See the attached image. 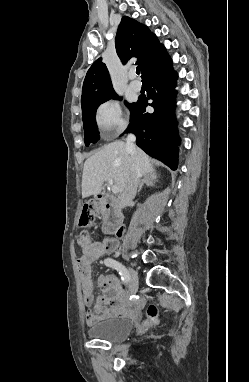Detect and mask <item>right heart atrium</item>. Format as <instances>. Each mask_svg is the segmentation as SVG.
<instances>
[{
	"instance_id": "1",
	"label": "right heart atrium",
	"mask_w": 249,
	"mask_h": 382,
	"mask_svg": "<svg viewBox=\"0 0 249 382\" xmlns=\"http://www.w3.org/2000/svg\"><path fill=\"white\" fill-rule=\"evenodd\" d=\"M95 122L99 130L106 135H116L126 127L121 105L112 99L103 102L97 108Z\"/></svg>"
}]
</instances>
